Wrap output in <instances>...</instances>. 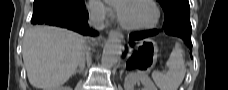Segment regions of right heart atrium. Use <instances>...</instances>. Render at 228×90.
Masks as SVG:
<instances>
[{
  "mask_svg": "<svg viewBox=\"0 0 228 90\" xmlns=\"http://www.w3.org/2000/svg\"><path fill=\"white\" fill-rule=\"evenodd\" d=\"M90 12L97 18H110L112 16V10L109 6L103 4L98 0H91L88 3Z\"/></svg>",
  "mask_w": 228,
  "mask_h": 90,
  "instance_id": "1",
  "label": "right heart atrium"
}]
</instances>
